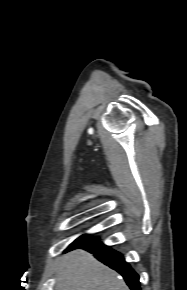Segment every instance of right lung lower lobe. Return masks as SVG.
<instances>
[{
    "instance_id": "obj_1",
    "label": "right lung lower lobe",
    "mask_w": 187,
    "mask_h": 290,
    "mask_svg": "<svg viewBox=\"0 0 187 290\" xmlns=\"http://www.w3.org/2000/svg\"><path fill=\"white\" fill-rule=\"evenodd\" d=\"M75 248H83L93 253L98 260L119 272L131 290H141L138 274L125 262L119 252L112 250L98 240L69 247V249Z\"/></svg>"
}]
</instances>
